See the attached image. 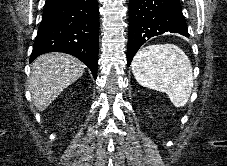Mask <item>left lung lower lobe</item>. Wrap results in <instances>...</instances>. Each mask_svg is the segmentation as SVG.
I'll return each instance as SVG.
<instances>
[{"mask_svg":"<svg viewBox=\"0 0 227 166\" xmlns=\"http://www.w3.org/2000/svg\"><path fill=\"white\" fill-rule=\"evenodd\" d=\"M165 32L189 37L179 0H129L128 66L146 41Z\"/></svg>","mask_w":227,"mask_h":166,"instance_id":"1","label":"left lung lower lobe"}]
</instances>
